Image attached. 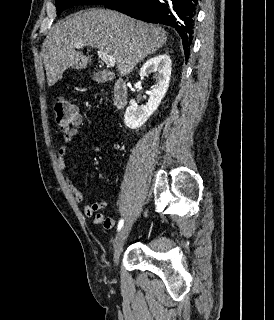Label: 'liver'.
<instances>
[{
  "label": "liver",
  "mask_w": 274,
  "mask_h": 320,
  "mask_svg": "<svg viewBox=\"0 0 274 320\" xmlns=\"http://www.w3.org/2000/svg\"><path fill=\"white\" fill-rule=\"evenodd\" d=\"M166 40L167 32L160 26L112 10H81L55 24L43 42L48 86H54L68 68L83 70L90 64L91 58L76 52L78 44L114 56L119 76H128L139 62L158 52Z\"/></svg>",
  "instance_id": "liver-1"
}]
</instances>
